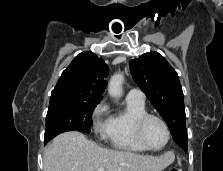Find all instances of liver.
<instances>
[{
	"mask_svg": "<svg viewBox=\"0 0 223 171\" xmlns=\"http://www.w3.org/2000/svg\"><path fill=\"white\" fill-rule=\"evenodd\" d=\"M174 159L171 152L153 157L104 149L77 131L58 135L43 156L44 171H162Z\"/></svg>",
	"mask_w": 223,
	"mask_h": 171,
	"instance_id": "1",
	"label": "liver"
}]
</instances>
